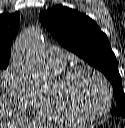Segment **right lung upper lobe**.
<instances>
[{
  "instance_id": "right-lung-upper-lobe-1",
  "label": "right lung upper lobe",
  "mask_w": 125,
  "mask_h": 128,
  "mask_svg": "<svg viewBox=\"0 0 125 128\" xmlns=\"http://www.w3.org/2000/svg\"><path fill=\"white\" fill-rule=\"evenodd\" d=\"M18 12L0 14V61H9L11 44L19 28Z\"/></svg>"
}]
</instances>
